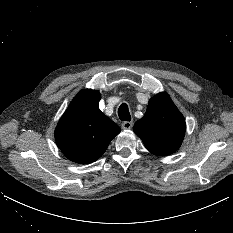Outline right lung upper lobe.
Returning <instances> with one entry per match:
<instances>
[{"label":"right lung upper lobe","mask_w":233,"mask_h":233,"mask_svg":"<svg viewBox=\"0 0 233 233\" xmlns=\"http://www.w3.org/2000/svg\"><path fill=\"white\" fill-rule=\"evenodd\" d=\"M101 95L85 89L77 94L61 117L54 136L63 154L71 161H96L121 129L99 109Z\"/></svg>","instance_id":"right-lung-upper-lobe-1"}]
</instances>
